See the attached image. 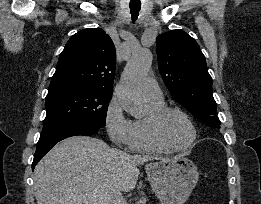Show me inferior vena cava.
<instances>
[{
	"mask_svg": "<svg viewBox=\"0 0 261 204\" xmlns=\"http://www.w3.org/2000/svg\"><path fill=\"white\" fill-rule=\"evenodd\" d=\"M109 204H127L121 191H113L109 197Z\"/></svg>",
	"mask_w": 261,
	"mask_h": 204,
	"instance_id": "inferior-vena-cava-1",
	"label": "inferior vena cava"
}]
</instances>
